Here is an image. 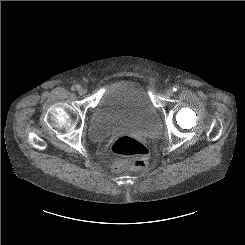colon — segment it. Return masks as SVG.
Returning a JSON list of instances; mask_svg holds the SVG:
<instances>
[{"label":"colon","mask_w":245,"mask_h":245,"mask_svg":"<svg viewBox=\"0 0 245 245\" xmlns=\"http://www.w3.org/2000/svg\"><path fill=\"white\" fill-rule=\"evenodd\" d=\"M111 151L119 156L128 157L126 164H116L114 170L131 168L134 170L145 169L149 162V149L138 139L131 135L123 134L113 139Z\"/></svg>","instance_id":"1"}]
</instances>
